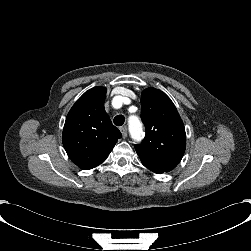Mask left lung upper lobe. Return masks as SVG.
Returning a JSON list of instances; mask_svg holds the SVG:
<instances>
[{"instance_id": "5c2ea615", "label": "left lung upper lobe", "mask_w": 251, "mask_h": 251, "mask_svg": "<svg viewBox=\"0 0 251 251\" xmlns=\"http://www.w3.org/2000/svg\"><path fill=\"white\" fill-rule=\"evenodd\" d=\"M141 119L146 136L135 149L142 164L158 174L171 171L186 148L184 124L175 105L162 91L147 88L141 96Z\"/></svg>"}]
</instances>
